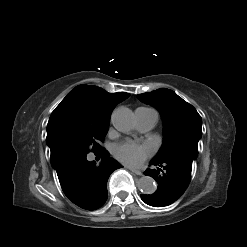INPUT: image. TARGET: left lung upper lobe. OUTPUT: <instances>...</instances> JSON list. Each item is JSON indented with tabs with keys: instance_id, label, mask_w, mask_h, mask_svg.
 I'll return each mask as SVG.
<instances>
[{
	"instance_id": "1",
	"label": "left lung upper lobe",
	"mask_w": 247,
	"mask_h": 247,
	"mask_svg": "<svg viewBox=\"0 0 247 247\" xmlns=\"http://www.w3.org/2000/svg\"><path fill=\"white\" fill-rule=\"evenodd\" d=\"M137 97L157 108L164 122V142L154 159L165 160L180 156L190 161L195 160L198 141L202 136V119L196 109L166 88L139 94Z\"/></svg>"
}]
</instances>
